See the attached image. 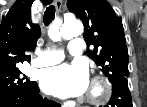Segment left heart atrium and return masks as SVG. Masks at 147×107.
I'll list each match as a JSON object with an SVG mask.
<instances>
[{
  "label": "left heart atrium",
  "instance_id": "left-heart-atrium-1",
  "mask_svg": "<svg viewBox=\"0 0 147 107\" xmlns=\"http://www.w3.org/2000/svg\"><path fill=\"white\" fill-rule=\"evenodd\" d=\"M41 87L44 92L59 98L76 97L89 87L87 69L82 65L62 64L43 72Z\"/></svg>",
  "mask_w": 147,
  "mask_h": 107
}]
</instances>
